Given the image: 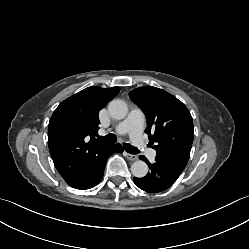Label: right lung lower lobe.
Listing matches in <instances>:
<instances>
[{
	"label": "right lung lower lobe",
	"mask_w": 249,
	"mask_h": 249,
	"mask_svg": "<svg viewBox=\"0 0 249 249\" xmlns=\"http://www.w3.org/2000/svg\"><path fill=\"white\" fill-rule=\"evenodd\" d=\"M115 152H123L122 146L118 143L115 145L107 144L98 149L90 163L70 186L76 189L85 190L97 185L103 177L107 159Z\"/></svg>",
	"instance_id": "right-lung-lower-lobe-1"
}]
</instances>
